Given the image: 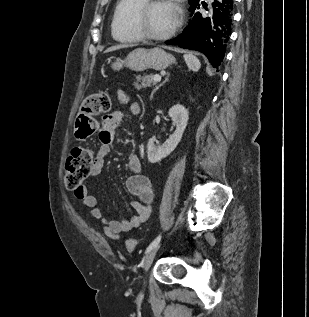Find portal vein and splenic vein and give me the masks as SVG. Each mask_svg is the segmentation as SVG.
I'll list each match as a JSON object with an SVG mask.
<instances>
[{
    "label": "portal vein and splenic vein",
    "mask_w": 309,
    "mask_h": 317,
    "mask_svg": "<svg viewBox=\"0 0 309 317\" xmlns=\"http://www.w3.org/2000/svg\"><path fill=\"white\" fill-rule=\"evenodd\" d=\"M154 80L156 82H160L161 81V76L160 75H155Z\"/></svg>",
    "instance_id": "portal-vein-and-splenic-vein-1"
}]
</instances>
